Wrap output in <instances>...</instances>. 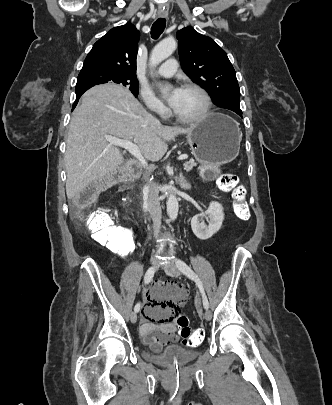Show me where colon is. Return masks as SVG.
Returning a JSON list of instances; mask_svg holds the SVG:
<instances>
[{"instance_id": "obj_1", "label": "colon", "mask_w": 332, "mask_h": 405, "mask_svg": "<svg viewBox=\"0 0 332 405\" xmlns=\"http://www.w3.org/2000/svg\"><path fill=\"white\" fill-rule=\"evenodd\" d=\"M219 187L230 192L234 198V213L240 220H248L249 208L245 198V190L239 184V179L231 173L223 174L218 179ZM108 186L107 179L101 180L98 183L91 185L84 190L79 196L74 199V205L78 209L84 208L92 202L96 196L106 189ZM74 221L77 224H83L93 235L97 242L107 244L109 254L112 256H134L136 244L134 239L136 233L134 231H118L117 226L112 217L105 211L96 210L89 213L78 211L74 216ZM167 288H182L175 284H168ZM180 312L174 315H169V320L173 321L176 327V332L182 340V345L187 346L188 351H199L200 343L204 339V334H208V325H194L191 310L173 311Z\"/></svg>"}]
</instances>
